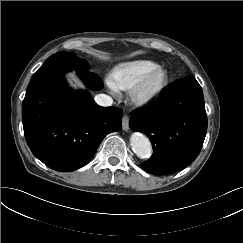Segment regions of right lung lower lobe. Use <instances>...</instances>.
Returning a JSON list of instances; mask_svg holds the SVG:
<instances>
[{
  "mask_svg": "<svg viewBox=\"0 0 243 243\" xmlns=\"http://www.w3.org/2000/svg\"><path fill=\"white\" fill-rule=\"evenodd\" d=\"M56 67L39 68L23 100L24 135L32 153L48 167L70 172L86 165L103 138L122 128V110L101 107L86 90L69 89ZM93 90L103 87L98 75L77 71Z\"/></svg>",
  "mask_w": 243,
  "mask_h": 243,
  "instance_id": "1",
  "label": "right lung lower lobe"
}]
</instances>
